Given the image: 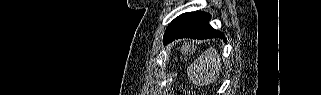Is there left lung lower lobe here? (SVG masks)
<instances>
[{"label": "left lung lower lobe", "instance_id": "left-lung-lower-lobe-1", "mask_svg": "<svg viewBox=\"0 0 321 95\" xmlns=\"http://www.w3.org/2000/svg\"><path fill=\"white\" fill-rule=\"evenodd\" d=\"M210 15L202 11L184 13L175 18L167 27L164 35V44L179 38L208 39L223 38V33L209 24Z\"/></svg>", "mask_w": 321, "mask_h": 95}]
</instances>
